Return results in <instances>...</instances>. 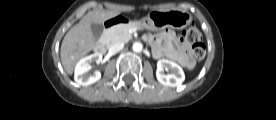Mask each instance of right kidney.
<instances>
[{"label": "right kidney", "mask_w": 276, "mask_h": 120, "mask_svg": "<svg viewBox=\"0 0 276 120\" xmlns=\"http://www.w3.org/2000/svg\"><path fill=\"white\" fill-rule=\"evenodd\" d=\"M101 60L102 54L100 53H95L81 59L75 67L74 80L83 86H88L97 82L101 78L100 71L89 73V70L91 69L92 62L95 61L100 63Z\"/></svg>", "instance_id": "right-kidney-1"}]
</instances>
